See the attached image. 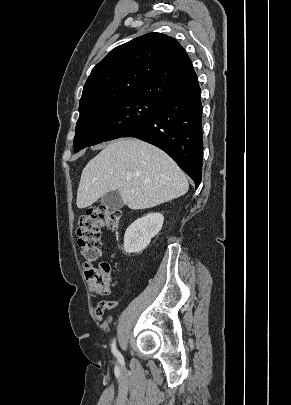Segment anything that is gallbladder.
<instances>
[{
  "mask_svg": "<svg viewBox=\"0 0 291 405\" xmlns=\"http://www.w3.org/2000/svg\"><path fill=\"white\" fill-rule=\"evenodd\" d=\"M102 204L111 210H119L124 203L118 191H110L101 198Z\"/></svg>",
  "mask_w": 291,
  "mask_h": 405,
  "instance_id": "bac80fb5",
  "label": "gallbladder"
}]
</instances>
